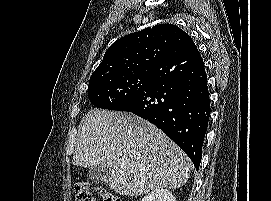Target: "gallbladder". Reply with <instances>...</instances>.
I'll use <instances>...</instances> for the list:
<instances>
[{
  "mask_svg": "<svg viewBox=\"0 0 271 201\" xmlns=\"http://www.w3.org/2000/svg\"><path fill=\"white\" fill-rule=\"evenodd\" d=\"M89 178L95 184H107L110 175V168L106 163L93 166L87 170Z\"/></svg>",
  "mask_w": 271,
  "mask_h": 201,
  "instance_id": "obj_1",
  "label": "gallbladder"
}]
</instances>
